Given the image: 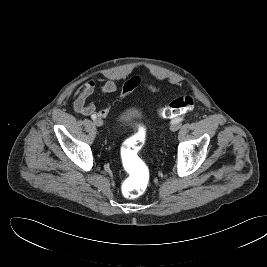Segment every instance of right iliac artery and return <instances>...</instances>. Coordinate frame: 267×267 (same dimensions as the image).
<instances>
[{"label": "right iliac artery", "mask_w": 267, "mask_h": 267, "mask_svg": "<svg viewBox=\"0 0 267 267\" xmlns=\"http://www.w3.org/2000/svg\"><path fill=\"white\" fill-rule=\"evenodd\" d=\"M96 117H97V116H96L95 114L91 116V118H92L93 120H95Z\"/></svg>", "instance_id": "1"}]
</instances>
